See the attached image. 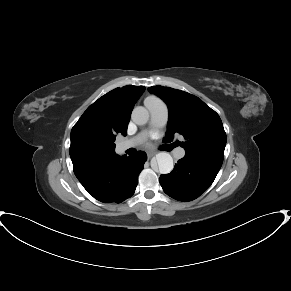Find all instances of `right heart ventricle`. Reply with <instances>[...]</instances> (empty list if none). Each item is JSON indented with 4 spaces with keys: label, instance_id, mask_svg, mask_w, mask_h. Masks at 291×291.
Returning <instances> with one entry per match:
<instances>
[{
    "label": "right heart ventricle",
    "instance_id": "right-heart-ventricle-1",
    "mask_svg": "<svg viewBox=\"0 0 291 291\" xmlns=\"http://www.w3.org/2000/svg\"><path fill=\"white\" fill-rule=\"evenodd\" d=\"M153 99H157V97H155V96H149V97L146 98V100H153Z\"/></svg>",
    "mask_w": 291,
    "mask_h": 291
}]
</instances>
